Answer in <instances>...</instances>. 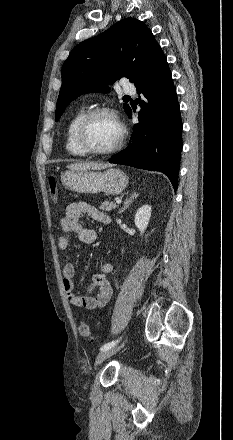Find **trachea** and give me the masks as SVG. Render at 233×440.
<instances>
[{"mask_svg": "<svg viewBox=\"0 0 233 440\" xmlns=\"http://www.w3.org/2000/svg\"><path fill=\"white\" fill-rule=\"evenodd\" d=\"M125 98H129L130 96H124Z\"/></svg>", "mask_w": 233, "mask_h": 440, "instance_id": "trachea-1", "label": "trachea"}]
</instances>
